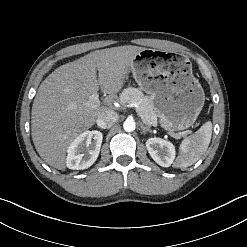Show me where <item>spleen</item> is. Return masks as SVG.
Listing matches in <instances>:
<instances>
[{
    "instance_id": "spleen-1",
    "label": "spleen",
    "mask_w": 247,
    "mask_h": 247,
    "mask_svg": "<svg viewBox=\"0 0 247 247\" xmlns=\"http://www.w3.org/2000/svg\"><path fill=\"white\" fill-rule=\"evenodd\" d=\"M212 136V123H204L193 135L185 138L179 147V154L174 162L175 168H186L197 162L206 152Z\"/></svg>"
}]
</instances>
